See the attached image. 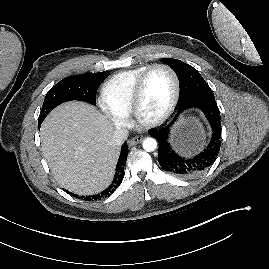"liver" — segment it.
Returning a JSON list of instances; mask_svg holds the SVG:
<instances>
[{"label":"liver","mask_w":269,"mask_h":269,"mask_svg":"<svg viewBox=\"0 0 269 269\" xmlns=\"http://www.w3.org/2000/svg\"><path fill=\"white\" fill-rule=\"evenodd\" d=\"M113 125L94 106L68 102L41 126L43 155L56 181L77 194H93L111 182L119 146L110 143Z\"/></svg>","instance_id":"liver-1"}]
</instances>
